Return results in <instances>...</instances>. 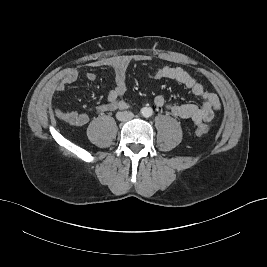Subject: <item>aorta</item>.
<instances>
[{"label":"aorta","instance_id":"aorta-1","mask_svg":"<svg viewBox=\"0 0 267 267\" xmlns=\"http://www.w3.org/2000/svg\"><path fill=\"white\" fill-rule=\"evenodd\" d=\"M141 114H142L144 117L148 118V117L152 116V114H153V110H152L151 107H143V108L141 109Z\"/></svg>","mask_w":267,"mask_h":267}]
</instances>
